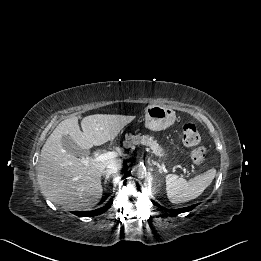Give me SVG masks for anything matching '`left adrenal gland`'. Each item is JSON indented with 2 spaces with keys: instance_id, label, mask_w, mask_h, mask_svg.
Listing matches in <instances>:
<instances>
[{
  "instance_id": "left-adrenal-gland-1",
  "label": "left adrenal gland",
  "mask_w": 261,
  "mask_h": 261,
  "mask_svg": "<svg viewBox=\"0 0 261 261\" xmlns=\"http://www.w3.org/2000/svg\"><path fill=\"white\" fill-rule=\"evenodd\" d=\"M151 163H152L153 165L157 166L159 173H162V172H163L162 167L160 166V164H159L158 162H156V161H154V160H151Z\"/></svg>"
}]
</instances>
